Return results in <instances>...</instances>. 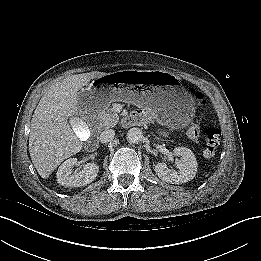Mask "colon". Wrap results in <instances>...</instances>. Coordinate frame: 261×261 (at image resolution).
<instances>
[{"label":"colon","instance_id":"obj_1","mask_svg":"<svg viewBox=\"0 0 261 261\" xmlns=\"http://www.w3.org/2000/svg\"><path fill=\"white\" fill-rule=\"evenodd\" d=\"M192 95L194 96L195 102L198 105H203L205 100L202 95V93L190 90ZM200 128L198 124L194 123L192 124L188 131H187V136L188 138L193 141L197 142L200 137ZM220 135L221 132L219 128L215 126H206L203 130V137H204V147H203V155L206 158H211L215 155L216 149L218 147L219 141H220Z\"/></svg>","mask_w":261,"mask_h":261}]
</instances>
